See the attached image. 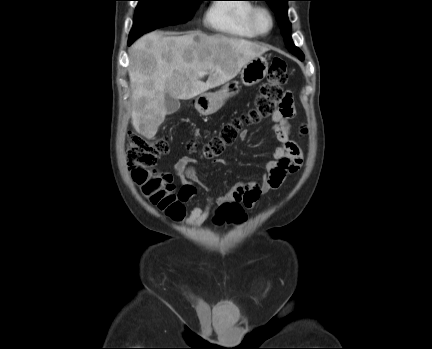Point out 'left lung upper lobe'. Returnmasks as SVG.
<instances>
[{"label": "left lung upper lobe", "mask_w": 432, "mask_h": 349, "mask_svg": "<svg viewBox=\"0 0 432 349\" xmlns=\"http://www.w3.org/2000/svg\"><path fill=\"white\" fill-rule=\"evenodd\" d=\"M268 3L271 9L276 13V18L279 23L281 33L284 37V42L287 49L297 56L300 60H304V54L297 48L291 39V24L287 17V1L289 0H263Z\"/></svg>", "instance_id": "5c2ea615"}]
</instances>
